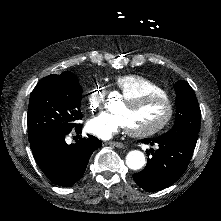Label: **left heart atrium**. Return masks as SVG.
Instances as JSON below:
<instances>
[{"label": "left heart atrium", "mask_w": 221, "mask_h": 221, "mask_svg": "<svg viewBox=\"0 0 221 221\" xmlns=\"http://www.w3.org/2000/svg\"><path fill=\"white\" fill-rule=\"evenodd\" d=\"M87 127L96 136L111 139L122 131L123 121L117 113L105 111L98 118L89 120Z\"/></svg>", "instance_id": "39dd6f15"}]
</instances>
